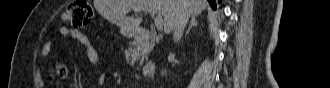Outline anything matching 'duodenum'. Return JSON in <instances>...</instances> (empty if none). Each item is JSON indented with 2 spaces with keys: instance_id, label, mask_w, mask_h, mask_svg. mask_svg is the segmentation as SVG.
Instances as JSON below:
<instances>
[{
  "instance_id": "duodenum-1",
  "label": "duodenum",
  "mask_w": 330,
  "mask_h": 88,
  "mask_svg": "<svg viewBox=\"0 0 330 88\" xmlns=\"http://www.w3.org/2000/svg\"><path fill=\"white\" fill-rule=\"evenodd\" d=\"M146 37H147L146 31H143L141 29L137 30L133 34L134 42L136 43H140L144 41ZM155 69H156V65L154 63H148L144 66L143 73L146 76H150L154 73Z\"/></svg>"
}]
</instances>
